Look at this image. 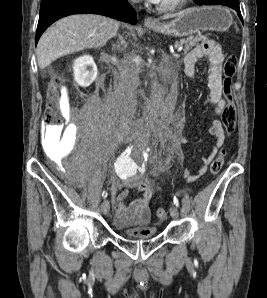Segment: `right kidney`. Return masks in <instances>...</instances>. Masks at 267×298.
I'll use <instances>...</instances> for the list:
<instances>
[{
	"mask_svg": "<svg viewBox=\"0 0 267 298\" xmlns=\"http://www.w3.org/2000/svg\"><path fill=\"white\" fill-rule=\"evenodd\" d=\"M74 79L81 87L90 86L97 77V67L90 55L77 58L73 64Z\"/></svg>",
	"mask_w": 267,
	"mask_h": 298,
	"instance_id": "1",
	"label": "right kidney"
}]
</instances>
